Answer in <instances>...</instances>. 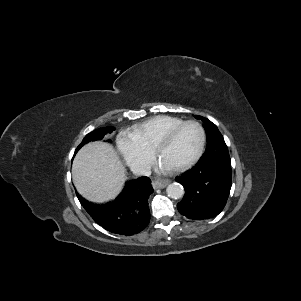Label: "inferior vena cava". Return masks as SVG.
<instances>
[{
    "instance_id": "obj_1",
    "label": "inferior vena cava",
    "mask_w": 301,
    "mask_h": 301,
    "mask_svg": "<svg viewBox=\"0 0 301 301\" xmlns=\"http://www.w3.org/2000/svg\"><path fill=\"white\" fill-rule=\"evenodd\" d=\"M131 171L138 176H149L151 171L148 167L136 165L131 168Z\"/></svg>"
}]
</instances>
